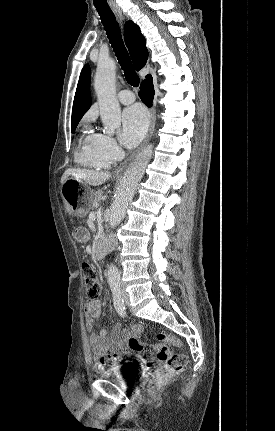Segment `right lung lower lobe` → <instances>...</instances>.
<instances>
[{
	"instance_id": "1",
	"label": "right lung lower lobe",
	"mask_w": 275,
	"mask_h": 431,
	"mask_svg": "<svg viewBox=\"0 0 275 431\" xmlns=\"http://www.w3.org/2000/svg\"><path fill=\"white\" fill-rule=\"evenodd\" d=\"M140 89L139 96L142 102L148 107H151L154 96L153 79L151 75H147L145 80L142 81Z\"/></svg>"
}]
</instances>
